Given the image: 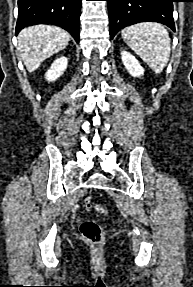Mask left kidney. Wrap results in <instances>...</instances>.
Returning a JSON list of instances; mask_svg holds the SVG:
<instances>
[{
    "instance_id": "left-kidney-1",
    "label": "left kidney",
    "mask_w": 193,
    "mask_h": 287,
    "mask_svg": "<svg viewBox=\"0 0 193 287\" xmlns=\"http://www.w3.org/2000/svg\"><path fill=\"white\" fill-rule=\"evenodd\" d=\"M121 58L125 68L131 76L140 77L144 74V68L140 65L139 61L129 52H121Z\"/></svg>"
}]
</instances>
